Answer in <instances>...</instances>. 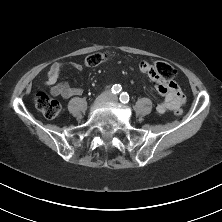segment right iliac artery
Wrapping results in <instances>:
<instances>
[{"label":"right iliac artery","instance_id":"82829eb1","mask_svg":"<svg viewBox=\"0 0 222 222\" xmlns=\"http://www.w3.org/2000/svg\"><path fill=\"white\" fill-rule=\"evenodd\" d=\"M120 91H121V85H119V84L113 85V87H112V93L117 94V93H119Z\"/></svg>","mask_w":222,"mask_h":222}]
</instances>
